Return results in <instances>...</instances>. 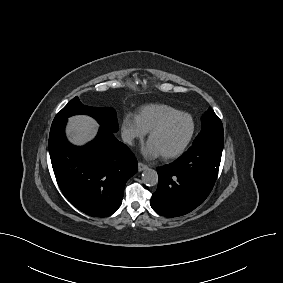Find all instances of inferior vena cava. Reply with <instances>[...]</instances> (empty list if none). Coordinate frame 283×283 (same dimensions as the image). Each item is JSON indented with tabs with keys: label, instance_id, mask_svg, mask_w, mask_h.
Returning <instances> with one entry per match:
<instances>
[{
	"label": "inferior vena cava",
	"instance_id": "obj_1",
	"mask_svg": "<svg viewBox=\"0 0 283 283\" xmlns=\"http://www.w3.org/2000/svg\"><path fill=\"white\" fill-rule=\"evenodd\" d=\"M121 136H122V140L125 143H128L130 145L132 144L134 136L130 132L124 131V132H122Z\"/></svg>",
	"mask_w": 283,
	"mask_h": 283
}]
</instances>
